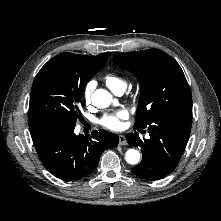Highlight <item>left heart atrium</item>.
Returning <instances> with one entry per match:
<instances>
[{"instance_id":"39dd6f15","label":"left heart atrium","mask_w":221,"mask_h":221,"mask_svg":"<svg viewBox=\"0 0 221 221\" xmlns=\"http://www.w3.org/2000/svg\"><path fill=\"white\" fill-rule=\"evenodd\" d=\"M128 117V113L125 110H120L115 113L105 114L100 119V124L110 130H119L122 128V121Z\"/></svg>"}]
</instances>
